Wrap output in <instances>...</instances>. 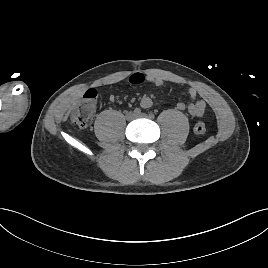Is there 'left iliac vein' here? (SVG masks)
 <instances>
[{"instance_id": "obj_1", "label": "left iliac vein", "mask_w": 268, "mask_h": 268, "mask_svg": "<svg viewBox=\"0 0 268 268\" xmlns=\"http://www.w3.org/2000/svg\"><path fill=\"white\" fill-rule=\"evenodd\" d=\"M137 117H141V118H149V116L145 113L139 114L137 115Z\"/></svg>"}]
</instances>
